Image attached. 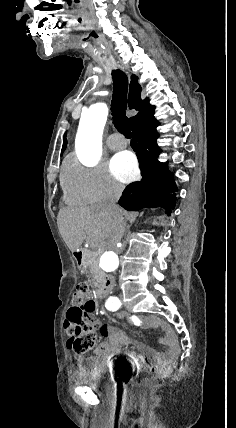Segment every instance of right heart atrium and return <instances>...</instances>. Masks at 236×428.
<instances>
[{"instance_id": "right-heart-atrium-1", "label": "right heart atrium", "mask_w": 236, "mask_h": 428, "mask_svg": "<svg viewBox=\"0 0 236 428\" xmlns=\"http://www.w3.org/2000/svg\"><path fill=\"white\" fill-rule=\"evenodd\" d=\"M68 199L79 206H97L98 200H118L124 186L114 180L103 163L70 162L62 181Z\"/></svg>"}]
</instances>
